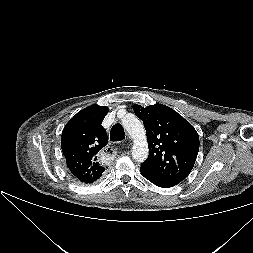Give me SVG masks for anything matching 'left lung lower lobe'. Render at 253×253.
Instances as JSON below:
<instances>
[{
    "label": "left lung lower lobe",
    "instance_id": "left-lung-lower-lobe-1",
    "mask_svg": "<svg viewBox=\"0 0 253 253\" xmlns=\"http://www.w3.org/2000/svg\"><path fill=\"white\" fill-rule=\"evenodd\" d=\"M141 174L146 178L148 179L150 182H152L153 184L159 186V187H162V188H170V187H173L175 185L171 184V183H168V182H165V181H162V180H159V179H156V178H153L151 176H148L146 174H144L143 172H141Z\"/></svg>",
    "mask_w": 253,
    "mask_h": 253
}]
</instances>
